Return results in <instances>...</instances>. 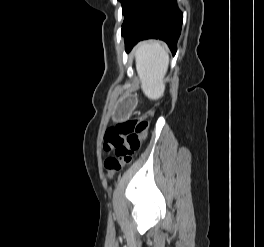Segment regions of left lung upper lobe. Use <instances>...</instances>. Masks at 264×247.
Segmentation results:
<instances>
[{
	"label": "left lung upper lobe",
	"mask_w": 264,
	"mask_h": 247,
	"mask_svg": "<svg viewBox=\"0 0 264 247\" xmlns=\"http://www.w3.org/2000/svg\"><path fill=\"white\" fill-rule=\"evenodd\" d=\"M122 3V12L124 14L123 29L129 24L132 18L137 14L146 0H119Z\"/></svg>",
	"instance_id": "5c2ea615"
}]
</instances>
